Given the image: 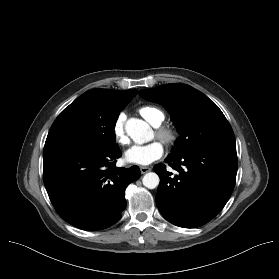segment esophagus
<instances>
[{
    "instance_id": "34e87169",
    "label": "esophagus",
    "mask_w": 279,
    "mask_h": 279,
    "mask_svg": "<svg viewBox=\"0 0 279 279\" xmlns=\"http://www.w3.org/2000/svg\"><path fill=\"white\" fill-rule=\"evenodd\" d=\"M140 171H141L142 174H145V173L151 171V168L150 167H146V166H141L140 167Z\"/></svg>"
}]
</instances>
